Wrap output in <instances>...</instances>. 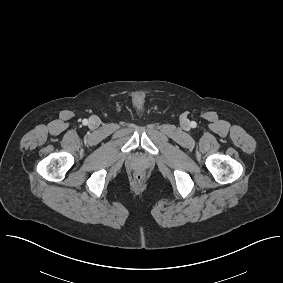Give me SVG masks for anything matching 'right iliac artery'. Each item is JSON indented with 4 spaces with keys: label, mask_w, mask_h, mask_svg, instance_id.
<instances>
[{
    "label": "right iliac artery",
    "mask_w": 283,
    "mask_h": 283,
    "mask_svg": "<svg viewBox=\"0 0 283 283\" xmlns=\"http://www.w3.org/2000/svg\"><path fill=\"white\" fill-rule=\"evenodd\" d=\"M87 123H88V120H87V119H84V120H83V124H84V125H87Z\"/></svg>",
    "instance_id": "right-iliac-artery-1"
}]
</instances>
